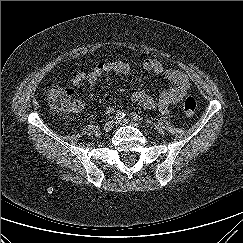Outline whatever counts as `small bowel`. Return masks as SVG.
<instances>
[{
	"mask_svg": "<svg viewBox=\"0 0 243 243\" xmlns=\"http://www.w3.org/2000/svg\"><path fill=\"white\" fill-rule=\"evenodd\" d=\"M142 69L145 72L163 77L172 84L170 88L160 93L157 100L145 91L133 92L129 98L142 108L147 110L158 108L161 112L166 113L171 105L178 103L187 93L190 83L184 73L175 69H166L162 63L156 59L144 60L142 62ZM130 71V65L121 60L99 63L88 72L78 73L72 79V84L75 87L81 86L84 82L95 85L99 78L105 74L114 73L119 76H126ZM106 112L108 114H113L115 112V107H108Z\"/></svg>",
	"mask_w": 243,
	"mask_h": 243,
	"instance_id": "obj_1",
	"label": "small bowel"
}]
</instances>
